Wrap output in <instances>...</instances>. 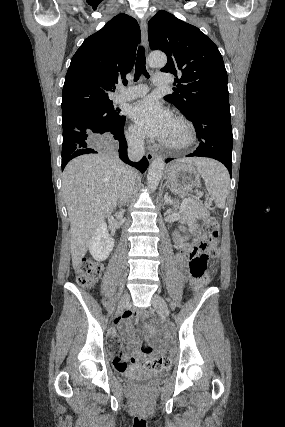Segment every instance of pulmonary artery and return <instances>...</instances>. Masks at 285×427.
<instances>
[{
    "instance_id": "pulmonary-artery-1",
    "label": "pulmonary artery",
    "mask_w": 285,
    "mask_h": 427,
    "mask_svg": "<svg viewBox=\"0 0 285 427\" xmlns=\"http://www.w3.org/2000/svg\"><path fill=\"white\" fill-rule=\"evenodd\" d=\"M153 83L156 86L169 85L171 83V79L166 74H157L154 76ZM148 91L149 88L146 84H139L132 88H122L116 97V102L130 101L142 97L146 95Z\"/></svg>"
}]
</instances>
